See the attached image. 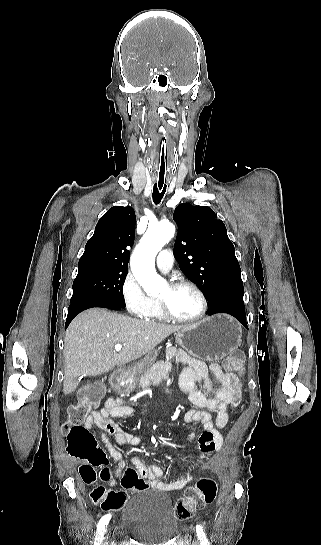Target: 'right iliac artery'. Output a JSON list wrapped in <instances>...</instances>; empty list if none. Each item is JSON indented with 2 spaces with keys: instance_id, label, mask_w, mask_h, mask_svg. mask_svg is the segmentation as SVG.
<instances>
[{
  "instance_id": "obj_1",
  "label": "right iliac artery",
  "mask_w": 321,
  "mask_h": 545,
  "mask_svg": "<svg viewBox=\"0 0 321 545\" xmlns=\"http://www.w3.org/2000/svg\"><path fill=\"white\" fill-rule=\"evenodd\" d=\"M110 519H111L110 514L104 515L100 519L98 527H97V533H96V538H95L94 545H101L103 535H104V532H105V527L108 524Z\"/></svg>"
}]
</instances>
